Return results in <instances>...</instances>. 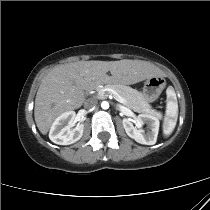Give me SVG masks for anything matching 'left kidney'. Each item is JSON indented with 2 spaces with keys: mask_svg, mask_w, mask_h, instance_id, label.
I'll use <instances>...</instances> for the list:
<instances>
[{
  "mask_svg": "<svg viewBox=\"0 0 210 210\" xmlns=\"http://www.w3.org/2000/svg\"><path fill=\"white\" fill-rule=\"evenodd\" d=\"M136 121L139 127L147 124L148 131L145 132L143 129H137L128 119H123V127L127 135L140 144L154 145L157 140L160 125L158 117L149 114H140Z\"/></svg>",
  "mask_w": 210,
  "mask_h": 210,
  "instance_id": "obj_1",
  "label": "left kidney"
}]
</instances>
